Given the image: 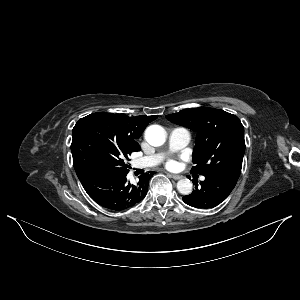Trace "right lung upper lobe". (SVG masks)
Masks as SVG:
<instances>
[{"label": "right lung upper lobe", "mask_w": 300, "mask_h": 300, "mask_svg": "<svg viewBox=\"0 0 300 300\" xmlns=\"http://www.w3.org/2000/svg\"><path fill=\"white\" fill-rule=\"evenodd\" d=\"M104 122L106 127L116 136L125 140L135 151L140 150L136 139L140 137L149 122L157 116L129 117L125 114L96 113Z\"/></svg>", "instance_id": "obj_1"}]
</instances>
